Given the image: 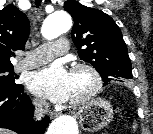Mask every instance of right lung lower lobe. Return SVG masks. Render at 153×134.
Returning a JSON list of instances; mask_svg holds the SVG:
<instances>
[{
  "label": "right lung lower lobe",
  "instance_id": "obj_1",
  "mask_svg": "<svg viewBox=\"0 0 153 134\" xmlns=\"http://www.w3.org/2000/svg\"><path fill=\"white\" fill-rule=\"evenodd\" d=\"M34 108L28 95L19 88L0 87V128H7L18 134H43L50 119L33 120Z\"/></svg>",
  "mask_w": 153,
  "mask_h": 134
}]
</instances>
